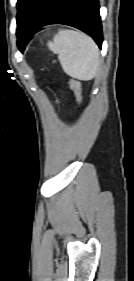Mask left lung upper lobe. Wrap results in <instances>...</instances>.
<instances>
[{"mask_svg": "<svg viewBox=\"0 0 134 281\" xmlns=\"http://www.w3.org/2000/svg\"><path fill=\"white\" fill-rule=\"evenodd\" d=\"M41 0L17 1V32L23 30Z\"/></svg>", "mask_w": 134, "mask_h": 281, "instance_id": "left-lung-upper-lobe-1", "label": "left lung upper lobe"}]
</instances>
